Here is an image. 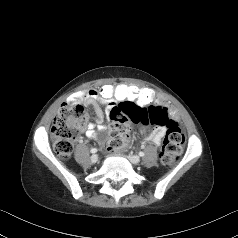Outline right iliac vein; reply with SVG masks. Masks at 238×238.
<instances>
[{
	"instance_id": "63e3f726",
	"label": "right iliac vein",
	"mask_w": 238,
	"mask_h": 238,
	"mask_svg": "<svg viewBox=\"0 0 238 238\" xmlns=\"http://www.w3.org/2000/svg\"><path fill=\"white\" fill-rule=\"evenodd\" d=\"M91 163H96L98 161V155L94 154L90 157Z\"/></svg>"
}]
</instances>
